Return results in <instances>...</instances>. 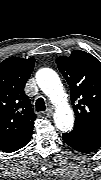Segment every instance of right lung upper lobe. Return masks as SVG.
Here are the masks:
<instances>
[{
    "label": "right lung upper lobe",
    "mask_w": 101,
    "mask_h": 180,
    "mask_svg": "<svg viewBox=\"0 0 101 180\" xmlns=\"http://www.w3.org/2000/svg\"><path fill=\"white\" fill-rule=\"evenodd\" d=\"M34 58L9 57L0 63V148L18 150L33 131L36 115L24 92Z\"/></svg>",
    "instance_id": "cb5924a9"
}]
</instances>
